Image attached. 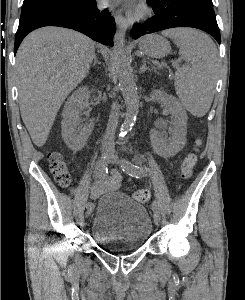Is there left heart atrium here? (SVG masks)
I'll use <instances>...</instances> for the list:
<instances>
[{
	"instance_id": "1",
	"label": "left heart atrium",
	"mask_w": 245,
	"mask_h": 300,
	"mask_svg": "<svg viewBox=\"0 0 245 300\" xmlns=\"http://www.w3.org/2000/svg\"><path fill=\"white\" fill-rule=\"evenodd\" d=\"M107 4L112 3H124L127 6L133 8L135 6L136 0H105Z\"/></svg>"
}]
</instances>
